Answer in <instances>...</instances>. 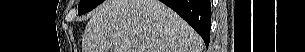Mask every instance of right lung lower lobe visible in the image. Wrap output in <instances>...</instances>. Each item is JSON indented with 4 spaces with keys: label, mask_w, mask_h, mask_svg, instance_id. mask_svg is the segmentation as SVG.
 Wrapping results in <instances>:
<instances>
[{
    "label": "right lung lower lobe",
    "mask_w": 305,
    "mask_h": 52,
    "mask_svg": "<svg viewBox=\"0 0 305 52\" xmlns=\"http://www.w3.org/2000/svg\"><path fill=\"white\" fill-rule=\"evenodd\" d=\"M185 21L203 38L206 46L210 41L211 3L210 0H160Z\"/></svg>",
    "instance_id": "1"
}]
</instances>
